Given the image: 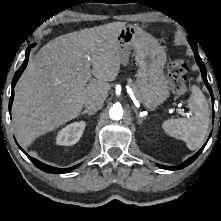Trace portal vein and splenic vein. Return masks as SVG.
<instances>
[{
    "mask_svg": "<svg viewBox=\"0 0 221 221\" xmlns=\"http://www.w3.org/2000/svg\"><path fill=\"white\" fill-rule=\"evenodd\" d=\"M88 60H89V58H88ZM87 79H90V73L89 72L87 73ZM173 109L176 110L177 113H179L181 115H185L184 111L181 108L174 107ZM187 116H189V114H187Z\"/></svg>",
    "mask_w": 221,
    "mask_h": 221,
    "instance_id": "portal-vein-and-splenic-vein-1",
    "label": "portal vein and splenic vein"
}]
</instances>
